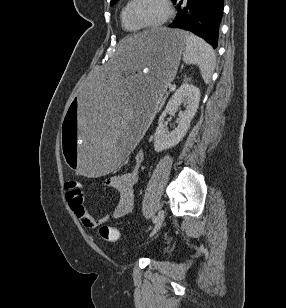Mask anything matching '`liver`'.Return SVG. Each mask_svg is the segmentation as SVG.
<instances>
[{"label":"liver","instance_id":"obj_1","mask_svg":"<svg viewBox=\"0 0 286 308\" xmlns=\"http://www.w3.org/2000/svg\"><path fill=\"white\" fill-rule=\"evenodd\" d=\"M152 31V30H151ZM150 31H146L132 37H128L120 41L118 48L116 50L114 59L118 57H124L131 53L134 47L143 39H145L149 35Z\"/></svg>","mask_w":286,"mask_h":308}]
</instances>
